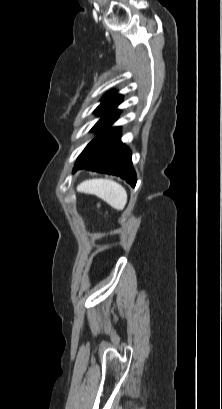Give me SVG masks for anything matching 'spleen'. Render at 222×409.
<instances>
[{"label":"spleen","mask_w":222,"mask_h":409,"mask_svg":"<svg viewBox=\"0 0 222 409\" xmlns=\"http://www.w3.org/2000/svg\"><path fill=\"white\" fill-rule=\"evenodd\" d=\"M77 191L95 195L116 210H123L127 203L125 188L109 179L86 180L77 186Z\"/></svg>","instance_id":"spleen-1"}]
</instances>
